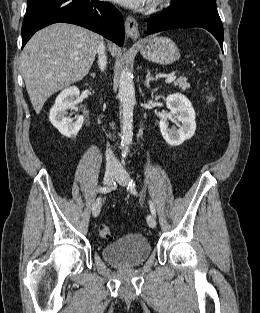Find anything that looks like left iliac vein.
Masks as SVG:
<instances>
[{
  "label": "left iliac vein",
  "instance_id": "4c4485c4",
  "mask_svg": "<svg viewBox=\"0 0 260 313\" xmlns=\"http://www.w3.org/2000/svg\"><path fill=\"white\" fill-rule=\"evenodd\" d=\"M129 174L126 172V170H124L123 168H118L116 171V180L117 182L125 187L127 186L128 182H129ZM147 224L151 227V228H155L157 223H156V219L154 218L153 215L148 214L147 215Z\"/></svg>",
  "mask_w": 260,
  "mask_h": 313
}]
</instances>
